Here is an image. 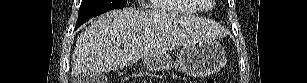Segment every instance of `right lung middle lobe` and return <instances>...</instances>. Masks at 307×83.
Returning <instances> with one entry per match:
<instances>
[{"label": "right lung middle lobe", "instance_id": "obj_1", "mask_svg": "<svg viewBox=\"0 0 307 83\" xmlns=\"http://www.w3.org/2000/svg\"><path fill=\"white\" fill-rule=\"evenodd\" d=\"M126 4L127 0H82L76 28L94 16L122 8Z\"/></svg>", "mask_w": 307, "mask_h": 83}]
</instances>
